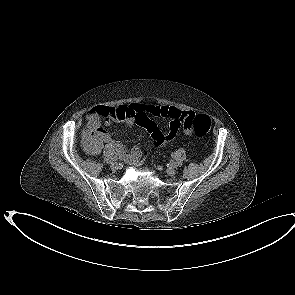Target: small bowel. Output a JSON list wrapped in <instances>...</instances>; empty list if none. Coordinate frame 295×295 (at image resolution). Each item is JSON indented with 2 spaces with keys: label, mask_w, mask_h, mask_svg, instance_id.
Segmentation results:
<instances>
[{
  "label": "small bowel",
  "mask_w": 295,
  "mask_h": 295,
  "mask_svg": "<svg viewBox=\"0 0 295 295\" xmlns=\"http://www.w3.org/2000/svg\"><path fill=\"white\" fill-rule=\"evenodd\" d=\"M190 111H181L170 106H155L141 103H131L119 105L117 107L99 106L87 114L88 130L86 135H90V144L86 151L91 155L101 152L103 144L114 150L123 160L132 164L137 163L142 156V150L133 147L127 150L123 144L111 138L110 134L104 130L99 123L100 118L104 119V124L109 126L114 122H123L127 126L135 124L145 128L151 136V140L157 142V146L171 143L180 133L182 122L181 116L192 115ZM153 118H162L168 121V131L163 132ZM189 129L186 133H189Z\"/></svg>",
  "instance_id": "1"
}]
</instances>
